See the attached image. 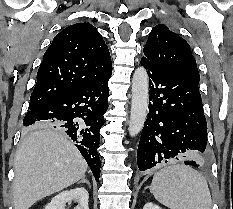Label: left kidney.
<instances>
[{
	"label": "left kidney",
	"instance_id": "5707ae66",
	"mask_svg": "<svg viewBox=\"0 0 233 209\" xmlns=\"http://www.w3.org/2000/svg\"><path fill=\"white\" fill-rule=\"evenodd\" d=\"M143 209H161L159 206L149 202V203H146L143 207Z\"/></svg>",
	"mask_w": 233,
	"mask_h": 209
}]
</instances>
